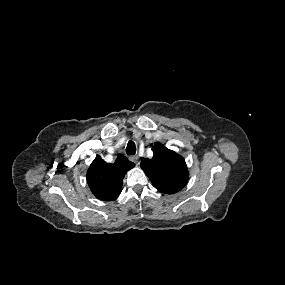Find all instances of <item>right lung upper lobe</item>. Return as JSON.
I'll list each match as a JSON object with an SVG mask.
<instances>
[{
  "mask_svg": "<svg viewBox=\"0 0 285 285\" xmlns=\"http://www.w3.org/2000/svg\"><path fill=\"white\" fill-rule=\"evenodd\" d=\"M135 164L122 154L114 163H106L99 155L96 156L87 171V183L91 192L100 200L117 199L122 191L123 178Z\"/></svg>",
  "mask_w": 285,
  "mask_h": 285,
  "instance_id": "cb5924a9",
  "label": "right lung upper lobe"
}]
</instances>
